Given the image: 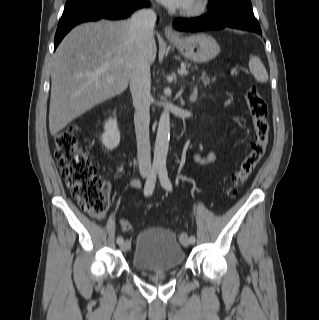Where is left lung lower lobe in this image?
<instances>
[{
    "label": "left lung lower lobe",
    "mask_w": 319,
    "mask_h": 320,
    "mask_svg": "<svg viewBox=\"0 0 319 320\" xmlns=\"http://www.w3.org/2000/svg\"><path fill=\"white\" fill-rule=\"evenodd\" d=\"M180 31L216 30L225 27L256 32L262 35L250 0H221L210 2L209 12L198 18L175 19Z\"/></svg>",
    "instance_id": "0a47b994"
}]
</instances>
